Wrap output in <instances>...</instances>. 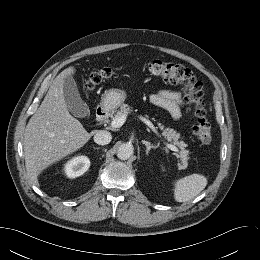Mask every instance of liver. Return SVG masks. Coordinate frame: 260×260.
I'll return each instance as SVG.
<instances>
[{"instance_id":"obj_1","label":"liver","mask_w":260,"mask_h":260,"mask_svg":"<svg viewBox=\"0 0 260 260\" xmlns=\"http://www.w3.org/2000/svg\"><path fill=\"white\" fill-rule=\"evenodd\" d=\"M75 71L71 66L54 79L25 128V167L34 185L39 184L38 176L42 170L83 147L94 134L88 133L66 106L64 79Z\"/></svg>"}]
</instances>
